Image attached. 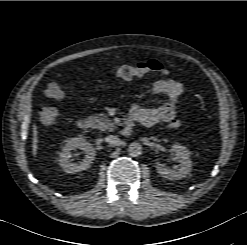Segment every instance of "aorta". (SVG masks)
Returning <instances> with one entry per match:
<instances>
[{
    "instance_id": "1",
    "label": "aorta",
    "mask_w": 247,
    "mask_h": 245,
    "mask_svg": "<svg viewBox=\"0 0 247 245\" xmlns=\"http://www.w3.org/2000/svg\"><path fill=\"white\" fill-rule=\"evenodd\" d=\"M128 153L132 157H137L142 153V145L138 142H133L128 147Z\"/></svg>"
}]
</instances>
